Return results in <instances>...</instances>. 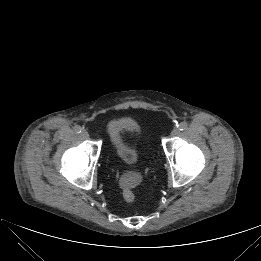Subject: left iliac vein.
Wrapping results in <instances>:
<instances>
[{"instance_id":"left-iliac-vein-1","label":"left iliac vein","mask_w":261,"mask_h":261,"mask_svg":"<svg viewBox=\"0 0 261 261\" xmlns=\"http://www.w3.org/2000/svg\"><path fill=\"white\" fill-rule=\"evenodd\" d=\"M180 133V130L178 128H174L171 132V136L175 137L178 136Z\"/></svg>"}]
</instances>
